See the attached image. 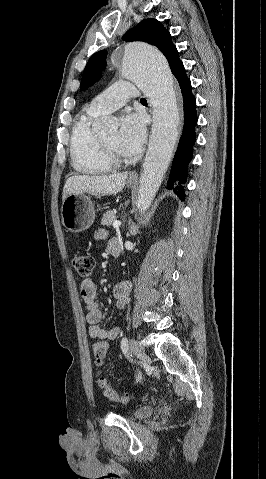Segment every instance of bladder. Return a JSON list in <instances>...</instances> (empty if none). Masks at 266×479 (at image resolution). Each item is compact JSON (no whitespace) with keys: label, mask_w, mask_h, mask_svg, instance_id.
Returning <instances> with one entry per match:
<instances>
[{"label":"bladder","mask_w":266,"mask_h":479,"mask_svg":"<svg viewBox=\"0 0 266 479\" xmlns=\"http://www.w3.org/2000/svg\"><path fill=\"white\" fill-rule=\"evenodd\" d=\"M153 413V407L151 405H142L137 407L131 414L134 419H142L150 416Z\"/></svg>","instance_id":"1"}]
</instances>
